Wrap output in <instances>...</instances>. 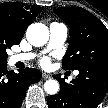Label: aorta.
I'll list each match as a JSON object with an SVG mask.
<instances>
[{
  "label": "aorta",
  "mask_w": 108,
  "mask_h": 108,
  "mask_svg": "<svg viewBox=\"0 0 108 108\" xmlns=\"http://www.w3.org/2000/svg\"><path fill=\"white\" fill-rule=\"evenodd\" d=\"M26 38L33 46H43L49 39V30L42 23H33L26 30ZM44 90L50 95H55L59 91V83L54 79L47 80Z\"/></svg>",
  "instance_id": "aorta-1"
}]
</instances>
